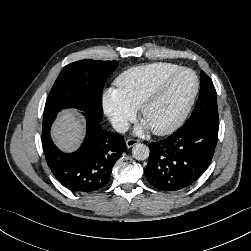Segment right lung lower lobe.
<instances>
[{"mask_svg":"<svg viewBox=\"0 0 251 251\" xmlns=\"http://www.w3.org/2000/svg\"><path fill=\"white\" fill-rule=\"evenodd\" d=\"M57 113L45 115L42 128L44 154L53 175L72 192L91 193L103 188L110 180L116 160L127 151L124 137L103 130L101 119L85 112L87 133L84 142L77 151L63 153L50 137Z\"/></svg>","mask_w":251,"mask_h":251,"instance_id":"right-lung-lower-lobe-1","label":"right lung lower lobe"}]
</instances>
